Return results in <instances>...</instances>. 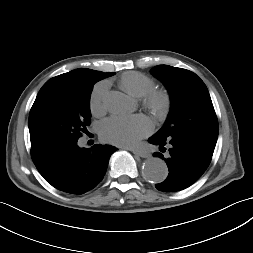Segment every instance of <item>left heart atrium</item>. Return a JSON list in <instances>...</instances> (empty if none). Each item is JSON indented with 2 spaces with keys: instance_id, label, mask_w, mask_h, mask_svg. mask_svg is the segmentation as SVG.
I'll list each match as a JSON object with an SVG mask.
<instances>
[{
  "instance_id": "39dd6f15",
  "label": "left heart atrium",
  "mask_w": 253,
  "mask_h": 253,
  "mask_svg": "<svg viewBox=\"0 0 253 253\" xmlns=\"http://www.w3.org/2000/svg\"><path fill=\"white\" fill-rule=\"evenodd\" d=\"M154 125L145 115L112 116L100 124V135L112 144L119 146L136 145L153 131Z\"/></svg>"
}]
</instances>
